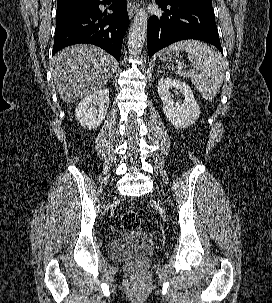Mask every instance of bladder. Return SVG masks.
Masks as SVG:
<instances>
[{
  "label": "bladder",
  "instance_id": "31cf9c89",
  "mask_svg": "<svg viewBox=\"0 0 272 303\" xmlns=\"http://www.w3.org/2000/svg\"><path fill=\"white\" fill-rule=\"evenodd\" d=\"M156 249L152 236L139 231H129L113 240L109 246L110 255L117 260L151 255Z\"/></svg>",
  "mask_w": 272,
  "mask_h": 303
}]
</instances>
